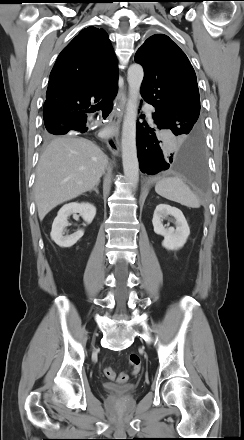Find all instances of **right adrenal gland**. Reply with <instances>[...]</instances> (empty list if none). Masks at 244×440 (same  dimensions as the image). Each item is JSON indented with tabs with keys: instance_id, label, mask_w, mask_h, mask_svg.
<instances>
[{
	"instance_id": "1",
	"label": "right adrenal gland",
	"mask_w": 244,
	"mask_h": 440,
	"mask_svg": "<svg viewBox=\"0 0 244 440\" xmlns=\"http://www.w3.org/2000/svg\"><path fill=\"white\" fill-rule=\"evenodd\" d=\"M98 186H99V183H97V184L95 185V187H94L92 190H90V193H91L92 191H95L97 194H99Z\"/></svg>"
}]
</instances>
